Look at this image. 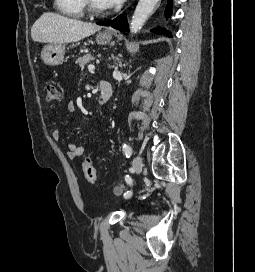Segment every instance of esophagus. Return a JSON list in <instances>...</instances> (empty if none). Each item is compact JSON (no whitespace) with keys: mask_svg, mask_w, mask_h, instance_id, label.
Masks as SVG:
<instances>
[{"mask_svg":"<svg viewBox=\"0 0 255 272\" xmlns=\"http://www.w3.org/2000/svg\"><path fill=\"white\" fill-rule=\"evenodd\" d=\"M109 32H112V29H108Z\"/></svg>","mask_w":255,"mask_h":272,"instance_id":"34e87169","label":"esophagus"}]
</instances>
